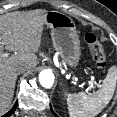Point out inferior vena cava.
<instances>
[{
  "mask_svg": "<svg viewBox=\"0 0 117 117\" xmlns=\"http://www.w3.org/2000/svg\"><path fill=\"white\" fill-rule=\"evenodd\" d=\"M25 70H26L25 68H21V67H20V68L17 69V73L20 74L21 72H23V71H25Z\"/></svg>",
  "mask_w": 117,
  "mask_h": 117,
  "instance_id": "inferior-vena-cava-1",
  "label": "inferior vena cava"
}]
</instances>
